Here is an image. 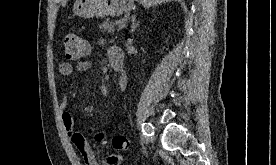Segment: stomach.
Returning <instances> with one entry per match:
<instances>
[{
	"label": "stomach",
	"mask_w": 276,
	"mask_h": 165,
	"mask_svg": "<svg viewBox=\"0 0 276 165\" xmlns=\"http://www.w3.org/2000/svg\"><path fill=\"white\" fill-rule=\"evenodd\" d=\"M134 0H76L74 15L82 18L119 16L130 11Z\"/></svg>",
	"instance_id": "0dacf381"
}]
</instances>
